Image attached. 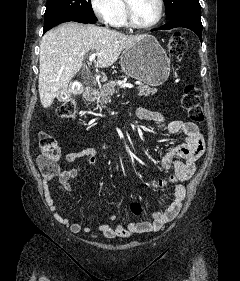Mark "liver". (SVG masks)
<instances>
[{
  "mask_svg": "<svg viewBox=\"0 0 240 281\" xmlns=\"http://www.w3.org/2000/svg\"><path fill=\"white\" fill-rule=\"evenodd\" d=\"M144 37L75 22L49 30L40 44L38 89L42 106L50 107L59 90L68 87L90 52L100 54L95 67L106 68L117 61L124 49Z\"/></svg>",
  "mask_w": 240,
  "mask_h": 281,
  "instance_id": "obj_1",
  "label": "liver"
}]
</instances>
